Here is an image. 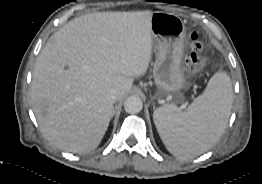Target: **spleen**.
Segmentation results:
<instances>
[{
	"mask_svg": "<svg viewBox=\"0 0 262 184\" xmlns=\"http://www.w3.org/2000/svg\"><path fill=\"white\" fill-rule=\"evenodd\" d=\"M233 104L230 77L216 72L186 110L174 104L157 108L153 120L167 150L183 160L210 149L224 132Z\"/></svg>",
	"mask_w": 262,
	"mask_h": 184,
	"instance_id": "spleen-1",
	"label": "spleen"
}]
</instances>
